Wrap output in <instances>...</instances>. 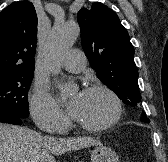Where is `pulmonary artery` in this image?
Wrapping results in <instances>:
<instances>
[{
  "instance_id": "e3ab8cb5",
  "label": "pulmonary artery",
  "mask_w": 168,
  "mask_h": 162,
  "mask_svg": "<svg viewBox=\"0 0 168 162\" xmlns=\"http://www.w3.org/2000/svg\"><path fill=\"white\" fill-rule=\"evenodd\" d=\"M61 64L67 71L79 73L85 69L87 59L81 50L72 49L65 54Z\"/></svg>"
}]
</instances>
